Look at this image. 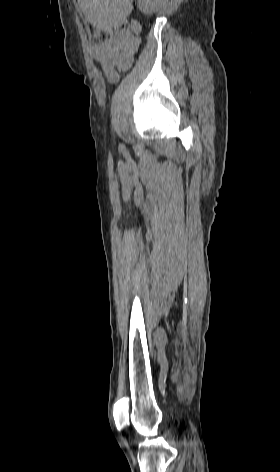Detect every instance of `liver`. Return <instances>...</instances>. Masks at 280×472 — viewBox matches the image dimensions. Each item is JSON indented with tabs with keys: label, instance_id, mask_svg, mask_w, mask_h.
<instances>
[{
	"label": "liver",
	"instance_id": "1",
	"mask_svg": "<svg viewBox=\"0 0 280 472\" xmlns=\"http://www.w3.org/2000/svg\"><path fill=\"white\" fill-rule=\"evenodd\" d=\"M133 0H78L86 20L102 31L127 22Z\"/></svg>",
	"mask_w": 280,
	"mask_h": 472
}]
</instances>
